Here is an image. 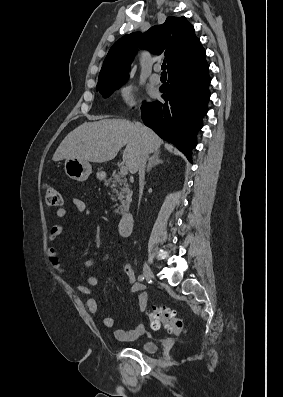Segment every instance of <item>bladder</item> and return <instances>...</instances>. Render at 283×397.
I'll return each instance as SVG.
<instances>
[{"instance_id": "obj_1", "label": "bladder", "mask_w": 283, "mask_h": 397, "mask_svg": "<svg viewBox=\"0 0 283 397\" xmlns=\"http://www.w3.org/2000/svg\"><path fill=\"white\" fill-rule=\"evenodd\" d=\"M138 348L146 353H154L158 349V344L155 341H147L138 345Z\"/></svg>"}]
</instances>
